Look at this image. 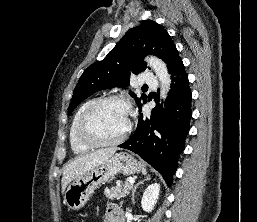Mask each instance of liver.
I'll use <instances>...</instances> for the list:
<instances>
[{"mask_svg":"<svg viewBox=\"0 0 257 222\" xmlns=\"http://www.w3.org/2000/svg\"><path fill=\"white\" fill-rule=\"evenodd\" d=\"M116 151L117 148L101 149L69 161L63 170L62 193L71 181L108 160Z\"/></svg>","mask_w":257,"mask_h":222,"instance_id":"1","label":"liver"}]
</instances>
